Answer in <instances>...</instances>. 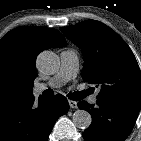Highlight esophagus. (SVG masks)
I'll return each instance as SVG.
<instances>
[{"instance_id": "1", "label": "esophagus", "mask_w": 141, "mask_h": 141, "mask_svg": "<svg viewBox=\"0 0 141 141\" xmlns=\"http://www.w3.org/2000/svg\"><path fill=\"white\" fill-rule=\"evenodd\" d=\"M69 106L72 109H76L78 107L77 102L73 100H68Z\"/></svg>"}]
</instances>
